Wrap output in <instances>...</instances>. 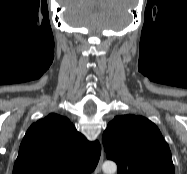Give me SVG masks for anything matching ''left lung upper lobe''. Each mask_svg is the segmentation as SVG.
<instances>
[{
  "label": "left lung upper lobe",
  "instance_id": "obj_1",
  "mask_svg": "<svg viewBox=\"0 0 187 174\" xmlns=\"http://www.w3.org/2000/svg\"><path fill=\"white\" fill-rule=\"evenodd\" d=\"M102 141L107 158L118 165V174H175L169 146L147 118L116 116Z\"/></svg>",
  "mask_w": 187,
  "mask_h": 174
}]
</instances>
